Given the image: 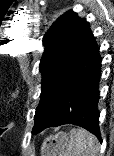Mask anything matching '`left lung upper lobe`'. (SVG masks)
Returning a JSON list of instances; mask_svg holds the SVG:
<instances>
[{"mask_svg": "<svg viewBox=\"0 0 114 156\" xmlns=\"http://www.w3.org/2000/svg\"><path fill=\"white\" fill-rule=\"evenodd\" d=\"M92 37L89 23L72 10L60 16L43 38L47 49L40 62L41 99L33 130L46 125L57 113L64 90Z\"/></svg>", "mask_w": 114, "mask_h": 156, "instance_id": "5c2ea615", "label": "left lung upper lobe"}]
</instances>
